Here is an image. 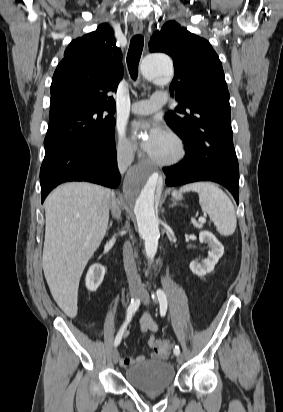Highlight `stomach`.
Returning a JSON list of instances; mask_svg holds the SVG:
<instances>
[{"mask_svg": "<svg viewBox=\"0 0 283 412\" xmlns=\"http://www.w3.org/2000/svg\"><path fill=\"white\" fill-rule=\"evenodd\" d=\"M173 197L178 200V199L181 198V194H179V193H177V192H174V193H173Z\"/></svg>", "mask_w": 283, "mask_h": 412, "instance_id": "0dacf381", "label": "stomach"}]
</instances>
